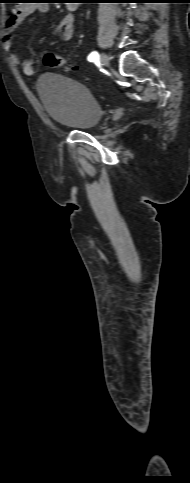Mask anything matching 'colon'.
Wrapping results in <instances>:
<instances>
[{"mask_svg":"<svg viewBox=\"0 0 190 483\" xmlns=\"http://www.w3.org/2000/svg\"><path fill=\"white\" fill-rule=\"evenodd\" d=\"M42 60H43V64L48 68L62 69L65 71L75 69V67L72 65V63L69 60L61 57L59 54L55 52H46L43 55Z\"/></svg>","mask_w":190,"mask_h":483,"instance_id":"5ec220e1","label":"colon"}]
</instances>
